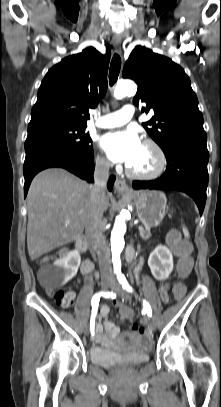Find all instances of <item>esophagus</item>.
Here are the masks:
<instances>
[{
    "label": "esophagus",
    "instance_id": "esophagus-1",
    "mask_svg": "<svg viewBox=\"0 0 221 407\" xmlns=\"http://www.w3.org/2000/svg\"><path fill=\"white\" fill-rule=\"evenodd\" d=\"M112 41H113V46H114L115 50L118 53H121V42H122L121 37L116 35L113 37ZM115 190L119 194H127V193L131 192V190H130L129 186L127 185V183L125 182V180H122L119 178L116 179V181H115Z\"/></svg>",
    "mask_w": 221,
    "mask_h": 407
}]
</instances>
